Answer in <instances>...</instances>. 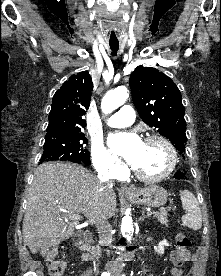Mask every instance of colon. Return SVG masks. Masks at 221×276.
<instances>
[{"label": "colon", "instance_id": "colon-1", "mask_svg": "<svg viewBox=\"0 0 221 276\" xmlns=\"http://www.w3.org/2000/svg\"><path fill=\"white\" fill-rule=\"evenodd\" d=\"M176 245L177 248L188 250L191 247V241L184 233H178L176 235ZM57 251L55 246H45L41 250L50 276H64L66 271L65 262L56 259Z\"/></svg>", "mask_w": 221, "mask_h": 276}]
</instances>
